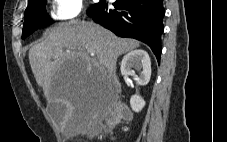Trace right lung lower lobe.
<instances>
[{"label": "right lung lower lobe", "mask_w": 227, "mask_h": 142, "mask_svg": "<svg viewBox=\"0 0 227 142\" xmlns=\"http://www.w3.org/2000/svg\"><path fill=\"white\" fill-rule=\"evenodd\" d=\"M113 6L115 9H108L106 1L100 0L87 14L118 36L145 42L160 62L165 15L162 0H116Z\"/></svg>", "instance_id": "1"}]
</instances>
